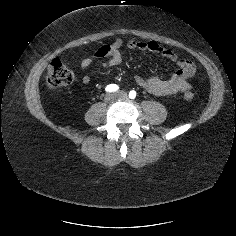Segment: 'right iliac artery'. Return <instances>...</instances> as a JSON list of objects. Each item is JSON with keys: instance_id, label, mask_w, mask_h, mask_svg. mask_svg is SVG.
<instances>
[{"instance_id": "right-iliac-artery-1", "label": "right iliac artery", "mask_w": 236, "mask_h": 236, "mask_svg": "<svg viewBox=\"0 0 236 236\" xmlns=\"http://www.w3.org/2000/svg\"><path fill=\"white\" fill-rule=\"evenodd\" d=\"M118 89H119V86L116 84H110L105 88L106 92H115Z\"/></svg>"}]
</instances>
